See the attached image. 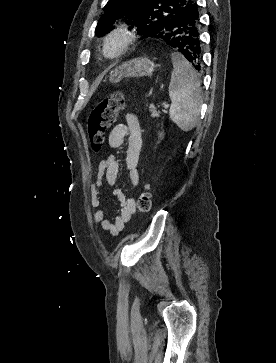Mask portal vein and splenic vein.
I'll return each instance as SVG.
<instances>
[{"instance_id": "1", "label": "portal vein and splenic vein", "mask_w": 276, "mask_h": 363, "mask_svg": "<svg viewBox=\"0 0 276 363\" xmlns=\"http://www.w3.org/2000/svg\"><path fill=\"white\" fill-rule=\"evenodd\" d=\"M169 107V104H164V108L167 109Z\"/></svg>"}]
</instances>
